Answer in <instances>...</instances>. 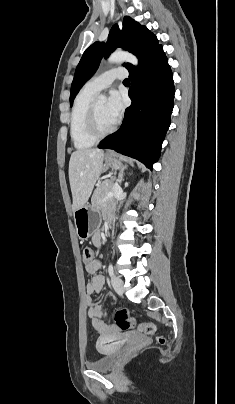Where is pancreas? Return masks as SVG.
<instances>
[{"label": "pancreas", "mask_w": 235, "mask_h": 404, "mask_svg": "<svg viewBox=\"0 0 235 404\" xmlns=\"http://www.w3.org/2000/svg\"><path fill=\"white\" fill-rule=\"evenodd\" d=\"M114 186V180L113 179H109V180H105L102 183H100L96 190L93 193V196L91 198V203L92 206L94 207H104L106 205V203L108 202H112L113 198L108 199L107 201L103 202V199L106 197V195L112 191Z\"/></svg>", "instance_id": "cf45deb5"}]
</instances>
